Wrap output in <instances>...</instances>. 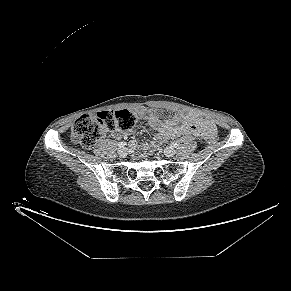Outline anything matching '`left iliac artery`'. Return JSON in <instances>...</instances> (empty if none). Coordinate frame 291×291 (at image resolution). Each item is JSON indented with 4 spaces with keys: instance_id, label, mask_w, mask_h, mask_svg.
<instances>
[{
    "instance_id": "1",
    "label": "left iliac artery",
    "mask_w": 291,
    "mask_h": 291,
    "mask_svg": "<svg viewBox=\"0 0 291 291\" xmlns=\"http://www.w3.org/2000/svg\"><path fill=\"white\" fill-rule=\"evenodd\" d=\"M172 146H173L174 148H178L179 144H178L177 142H175V143L172 144Z\"/></svg>"
}]
</instances>
